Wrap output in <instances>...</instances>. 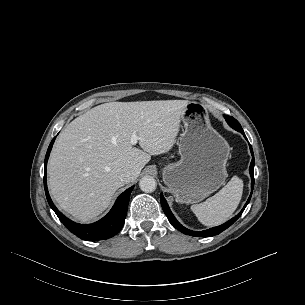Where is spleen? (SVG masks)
<instances>
[{
  "label": "spleen",
  "mask_w": 305,
  "mask_h": 305,
  "mask_svg": "<svg viewBox=\"0 0 305 305\" xmlns=\"http://www.w3.org/2000/svg\"><path fill=\"white\" fill-rule=\"evenodd\" d=\"M243 193V181L237 176L205 202L192 205L191 210L205 226H217L226 222L237 209Z\"/></svg>",
  "instance_id": "spleen-1"
}]
</instances>
